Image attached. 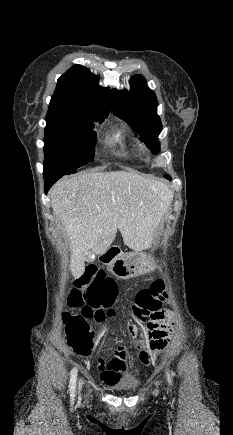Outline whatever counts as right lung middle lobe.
<instances>
[{
    "label": "right lung middle lobe",
    "instance_id": "obj_1",
    "mask_svg": "<svg viewBox=\"0 0 233 435\" xmlns=\"http://www.w3.org/2000/svg\"><path fill=\"white\" fill-rule=\"evenodd\" d=\"M107 116L46 120L44 178L76 173L79 167L87 165L94 156L93 121L102 122Z\"/></svg>",
    "mask_w": 233,
    "mask_h": 435
}]
</instances>
